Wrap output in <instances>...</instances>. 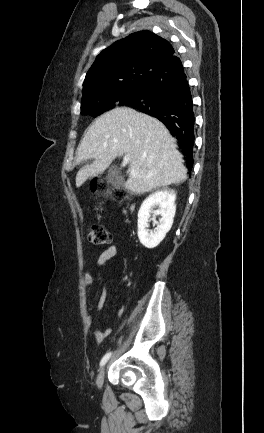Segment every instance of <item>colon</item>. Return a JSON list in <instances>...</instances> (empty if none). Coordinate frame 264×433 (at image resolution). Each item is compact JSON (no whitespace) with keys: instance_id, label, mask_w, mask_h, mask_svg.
<instances>
[{"instance_id":"obj_1","label":"colon","mask_w":264,"mask_h":433,"mask_svg":"<svg viewBox=\"0 0 264 433\" xmlns=\"http://www.w3.org/2000/svg\"><path fill=\"white\" fill-rule=\"evenodd\" d=\"M91 188L94 192H97L101 195L111 194L118 200L129 199V195L125 190L116 189L111 192L106 188V186L96 180L91 183ZM88 240L94 245H108L112 241V235L106 227L99 224H94L89 228Z\"/></svg>"}]
</instances>
